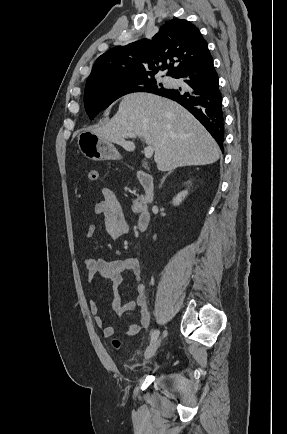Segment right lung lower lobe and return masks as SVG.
Segmentation results:
<instances>
[{"label":"right lung lower lobe","instance_id":"obj_1","mask_svg":"<svg viewBox=\"0 0 287 434\" xmlns=\"http://www.w3.org/2000/svg\"><path fill=\"white\" fill-rule=\"evenodd\" d=\"M174 78L181 79L186 86L153 92L167 97L190 111L211 133L221 149L224 141V118L219 78L210 52L179 71Z\"/></svg>","mask_w":287,"mask_h":434}]
</instances>
